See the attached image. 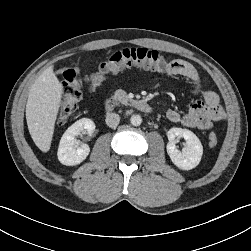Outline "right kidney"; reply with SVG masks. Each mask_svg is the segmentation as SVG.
Here are the masks:
<instances>
[{"instance_id": "obj_1", "label": "right kidney", "mask_w": 251, "mask_h": 251, "mask_svg": "<svg viewBox=\"0 0 251 251\" xmlns=\"http://www.w3.org/2000/svg\"><path fill=\"white\" fill-rule=\"evenodd\" d=\"M95 130L94 122L89 118H82L72 124L63 134L58 147V160L63 165L74 166L80 164L89 155L87 144L78 146L76 136L88 133L92 135Z\"/></svg>"}]
</instances>
